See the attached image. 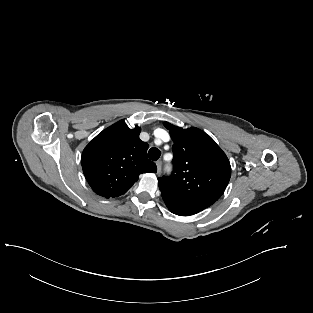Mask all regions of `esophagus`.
Here are the masks:
<instances>
[{
  "label": "esophagus",
  "instance_id": "esophagus-1",
  "mask_svg": "<svg viewBox=\"0 0 313 313\" xmlns=\"http://www.w3.org/2000/svg\"><path fill=\"white\" fill-rule=\"evenodd\" d=\"M156 166H157V174H159L161 172L162 162L161 161H157L156 162Z\"/></svg>",
  "mask_w": 313,
  "mask_h": 313
}]
</instances>
